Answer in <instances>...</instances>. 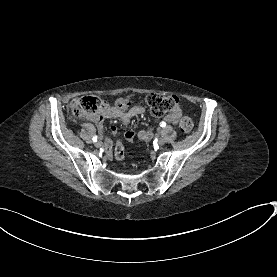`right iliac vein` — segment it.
<instances>
[{"instance_id": "obj_1", "label": "right iliac vein", "mask_w": 277, "mask_h": 277, "mask_svg": "<svg viewBox=\"0 0 277 277\" xmlns=\"http://www.w3.org/2000/svg\"><path fill=\"white\" fill-rule=\"evenodd\" d=\"M95 146L97 148L101 147L102 146V142L100 140L96 141Z\"/></svg>"}]
</instances>
